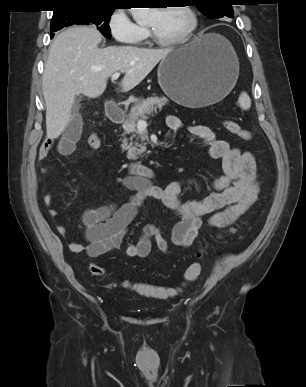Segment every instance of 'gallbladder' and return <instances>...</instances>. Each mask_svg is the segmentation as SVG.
I'll list each match as a JSON object with an SVG mask.
<instances>
[{"label":"gallbladder","mask_w":306,"mask_h":387,"mask_svg":"<svg viewBox=\"0 0 306 387\" xmlns=\"http://www.w3.org/2000/svg\"><path fill=\"white\" fill-rule=\"evenodd\" d=\"M80 100H81V96H77V97L74 99V107H75V108H78Z\"/></svg>","instance_id":"bac80fb5"}]
</instances>
